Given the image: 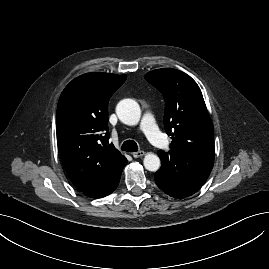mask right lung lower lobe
<instances>
[{
	"label": "right lung lower lobe",
	"mask_w": 269,
	"mask_h": 269,
	"mask_svg": "<svg viewBox=\"0 0 269 269\" xmlns=\"http://www.w3.org/2000/svg\"><path fill=\"white\" fill-rule=\"evenodd\" d=\"M126 163L111 178L106 180L104 183L99 184L92 189H88L82 192L86 194L87 196L93 197V198H101V197L109 195L117 188L120 181L123 167L126 165Z\"/></svg>",
	"instance_id": "obj_1"
}]
</instances>
